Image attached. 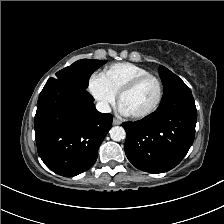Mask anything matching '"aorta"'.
<instances>
[{"label":"aorta","instance_id":"762f6f07","mask_svg":"<svg viewBox=\"0 0 224 224\" xmlns=\"http://www.w3.org/2000/svg\"><path fill=\"white\" fill-rule=\"evenodd\" d=\"M110 137L113 141H121L125 139L126 132L123 127L121 126H114L109 131Z\"/></svg>","mask_w":224,"mask_h":224}]
</instances>
